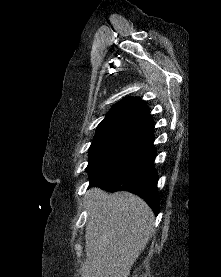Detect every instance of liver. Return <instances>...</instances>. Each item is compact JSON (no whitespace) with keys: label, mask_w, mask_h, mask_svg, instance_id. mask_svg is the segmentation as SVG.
<instances>
[{"label":"liver","mask_w":221,"mask_h":277,"mask_svg":"<svg viewBox=\"0 0 221 277\" xmlns=\"http://www.w3.org/2000/svg\"><path fill=\"white\" fill-rule=\"evenodd\" d=\"M81 277H128L154 232L148 204L129 192L90 191Z\"/></svg>","instance_id":"1"}]
</instances>
